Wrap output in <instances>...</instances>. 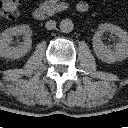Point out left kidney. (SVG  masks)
<instances>
[{
    "mask_svg": "<svg viewBox=\"0 0 128 128\" xmlns=\"http://www.w3.org/2000/svg\"><path fill=\"white\" fill-rule=\"evenodd\" d=\"M105 32H110L119 39V42L114 45L113 49L102 42V35ZM92 41L94 53L100 60L106 63L122 61L128 57V33L116 25L110 23L99 25Z\"/></svg>",
    "mask_w": 128,
    "mask_h": 128,
    "instance_id": "obj_1",
    "label": "left kidney"
}]
</instances>
